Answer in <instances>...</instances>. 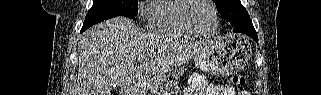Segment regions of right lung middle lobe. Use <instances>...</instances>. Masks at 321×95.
<instances>
[{
  "instance_id": "right-lung-middle-lobe-1",
  "label": "right lung middle lobe",
  "mask_w": 321,
  "mask_h": 95,
  "mask_svg": "<svg viewBox=\"0 0 321 95\" xmlns=\"http://www.w3.org/2000/svg\"><path fill=\"white\" fill-rule=\"evenodd\" d=\"M138 0H93L81 31L103 20L125 16L134 19L138 13Z\"/></svg>"
}]
</instances>
